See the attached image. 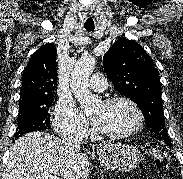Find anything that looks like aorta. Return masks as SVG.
Instances as JSON below:
<instances>
[{"instance_id": "aorta-1", "label": "aorta", "mask_w": 183, "mask_h": 179, "mask_svg": "<svg viewBox=\"0 0 183 179\" xmlns=\"http://www.w3.org/2000/svg\"><path fill=\"white\" fill-rule=\"evenodd\" d=\"M96 66V59L82 56L75 64L70 78V87L74 97L80 103L81 110L89 112L101 102L97 95L89 90V77Z\"/></svg>"}]
</instances>
